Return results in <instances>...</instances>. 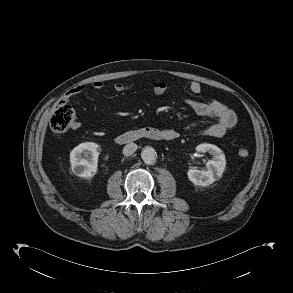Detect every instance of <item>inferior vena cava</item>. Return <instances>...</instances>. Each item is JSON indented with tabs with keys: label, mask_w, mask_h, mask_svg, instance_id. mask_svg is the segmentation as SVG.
<instances>
[{
	"label": "inferior vena cava",
	"mask_w": 293,
	"mask_h": 293,
	"mask_svg": "<svg viewBox=\"0 0 293 293\" xmlns=\"http://www.w3.org/2000/svg\"><path fill=\"white\" fill-rule=\"evenodd\" d=\"M137 148H138V146L135 143H133V142L129 143V144L124 146L123 154L125 156H130L137 150Z\"/></svg>",
	"instance_id": "obj_1"
}]
</instances>
